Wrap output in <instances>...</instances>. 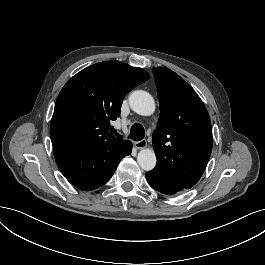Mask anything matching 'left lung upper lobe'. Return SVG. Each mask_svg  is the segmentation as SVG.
I'll use <instances>...</instances> for the list:
<instances>
[{
    "mask_svg": "<svg viewBox=\"0 0 265 265\" xmlns=\"http://www.w3.org/2000/svg\"><path fill=\"white\" fill-rule=\"evenodd\" d=\"M160 105L153 133L157 165L153 169L192 188L201 178L212 152L207 109L193 88L170 69H152Z\"/></svg>",
    "mask_w": 265,
    "mask_h": 265,
    "instance_id": "obj_1",
    "label": "left lung upper lobe"
}]
</instances>
